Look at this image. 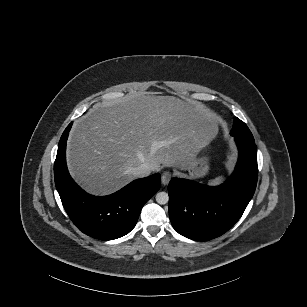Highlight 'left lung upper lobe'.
<instances>
[{
  "label": "left lung upper lobe",
  "mask_w": 307,
  "mask_h": 307,
  "mask_svg": "<svg viewBox=\"0 0 307 307\" xmlns=\"http://www.w3.org/2000/svg\"><path fill=\"white\" fill-rule=\"evenodd\" d=\"M230 133L234 137L253 139L252 133L250 132L246 124L237 117L234 119V124Z\"/></svg>",
  "instance_id": "obj_1"
}]
</instances>
